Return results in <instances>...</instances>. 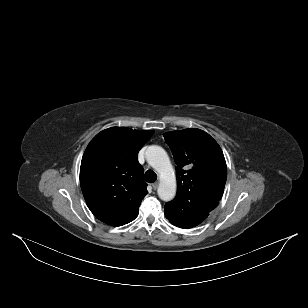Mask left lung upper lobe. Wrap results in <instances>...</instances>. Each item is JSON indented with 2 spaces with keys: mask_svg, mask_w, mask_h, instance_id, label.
<instances>
[{
  "mask_svg": "<svg viewBox=\"0 0 308 308\" xmlns=\"http://www.w3.org/2000/svg\"><path fill=\"white\" fill-rule=\"evenodd\" d=\"M177 164L178 191L165 204V216L186 221L209 214L219 204L227 179V166L217 142L196 128L164 134Z\"/></svg>",
  "mask_w": 308,
  "mask_h": 308,
  "instance_id": "1",
  "label": "left lung upper lobe"
}]
</instances>
